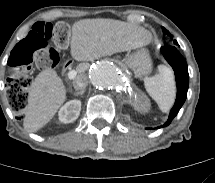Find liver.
Listing matches in <instances>:
<instances>
[{"mask_svg":"<svg viewBox=\"0 0 215 183\" xmlns=\"http://www.w3.org/2000/svg\"><path fill=\"white\" fill-rule=\"evenodd\" d=\"M151 41V33L136 24L114 19H84L72 26L71 55L77 61L88 62L134 50L149 45ZM87 66V63L78 66V76L83 75ZM65 100L66 89L57 73L53 69L40 72L29 90L24 129L30 133L40 130Z\"/></svg>","mask_w":215,"mask_h":183,"instance_id":"obj_1","label":"liver"}]
</instances>
